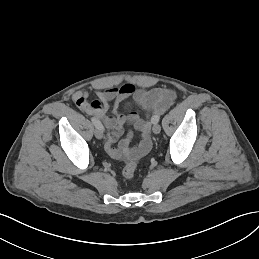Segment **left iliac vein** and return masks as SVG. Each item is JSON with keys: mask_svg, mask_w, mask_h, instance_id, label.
I'll return each mask as SVG.
<instances>
[{"mask_svg": "<svg viewBox=\"0 0 259 259\" xmlns=\"http://www.w3.org/2000/svg\"><path fill=\"white\" fill-rule=\"evenodd\" d=\"M152 131H153L155 134L160 133V131H161V126H160L159 124L155 123V124L153 125Z\"/></svg>", "mask_w": 259, "mask_h": 259, "instance_id": "4c4485c4", "label": "left iliac vein"}]
</instances>
